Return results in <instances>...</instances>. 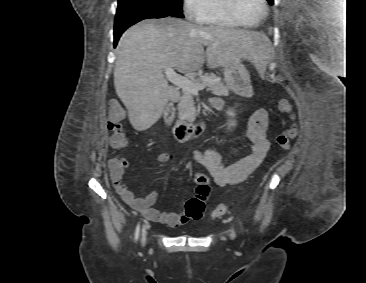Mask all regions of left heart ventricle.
<instances>
[{"label": "left heart ventricle", "mask_w": 366, "mask_h": 283, "mask_svg": "<svg viewBox=\"0 0 366 283\" xmlns=\"http://www.w3.org/2000/svg\"><path fill=\"white\" fill-rule=\"evenodd\" d=\"M237 13L246 23H254L263 13L261 0H237Z\"/></svg>", "instance_id": "b2bd125f"}]
</instances>
